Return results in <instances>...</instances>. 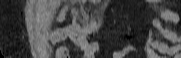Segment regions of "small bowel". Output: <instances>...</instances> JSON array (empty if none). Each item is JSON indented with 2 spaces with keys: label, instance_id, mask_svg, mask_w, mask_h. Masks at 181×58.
<instances>
[{
  "label": "small bowel",
  "instance_id": "small-bowel-1",
  "mask_svg": "<svg viewBox=\"0 0 181 58\" xmlns=\"http://www.w3.org/2000/svg\"><path fill=\"white\" fill-rule=\"evenodd\" d=\"M68 10H69V7L67 5L63 6L59 10L57 19H56L57 24H60L65 20ZM90 10H92V8H90ZM71 11L75 18L78 14V7L76 4H73L71 6ZM161 18L164 20L170 21L172 23L179 22L178 13L172 10H163L161 12ZM151 25L153 28L159 31L167 40H169L172 43V45H168L166 43L153 40L152 30H149L145 38V42L141 47H136V46L124 47L121 50L115 52L113 55V58H124L127 54L131 52H136L138 50H142L146 54V57L148 58L154 57V53L152 50H156L163 54L175 56L176 58H181V53H180L181 52V37H179L176 33L164 28L161 24L160 19L158 18L153 19L151 22ZM86 32H87V29H80L78 25L73 24L72 26L65 28L62 31L61 35L63 37H69L73 39L84 51L85 58H94V54L100 50V45L98 43H88L84 39V34ZM52 40H54V37H52ZM57 53L59 56L66 57L67 49L65 47H59L57 50Z\"/></svg>",
  "mask_w": 181,
  "mask_h": 58
}]
</instances>
